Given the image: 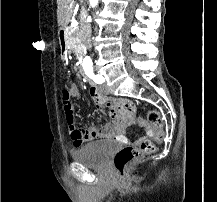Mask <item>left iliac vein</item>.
<instances>
[{
  "mask_svg": "<svg viewBox=\"0 0 217 202\" xmlns=\"http://www.w3.org/2000/svg\"><path fill=\"white\" fill-rule=\"evenodd\" d=\"M99 90H100L103 94H105V95L109 94V90H108L106 84L100 85V86H99Z\"/></svg>",
  "mask_w": 217,
  "mask_h": 202,
  "instance_id": "obj_1",
  "label": "left iliac vein"
}]
</instances>
